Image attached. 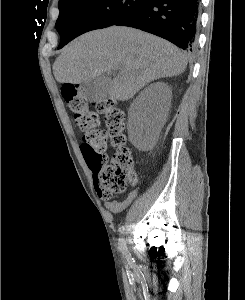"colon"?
I'll return each instance as SVG.
<instances>
[{
    "instance_id": "5ec220e1",
    "label": "colon",
    "mask_w": 245,
    "mask_h": 300,
    "mask_svg": "<svg viewBox=\"0 0 245 300\" xmlns=\"http://www.w3.org/2000/svg\"><path fill=\"white\" fill-rule=\"evenodd\" d=\"M62 95L74 113L76 124L84 133L80 148L93 172L99 196L110 199L124 192L129 185H135L137 176L134 161L129 149L125 147L124 113L115 101L107 98L95 102V112L91 110L88 98L78 85L63 86ZM98 114L103 116L105 129L99 128ZM108 140L116 148L110 159L104 154Z\"/></svg>"
}]
</instances>
